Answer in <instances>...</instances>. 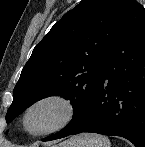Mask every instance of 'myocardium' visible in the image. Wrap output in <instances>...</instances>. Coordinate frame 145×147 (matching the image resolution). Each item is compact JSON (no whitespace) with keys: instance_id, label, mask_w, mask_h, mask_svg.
<instances>
[{"instance_id":"obj_1","label":"myocardium","mask_w":145,"mask_h":147,"mask_svg":"<svg viewBox=\"0 0 145 147\" xmlns=\"http://www.w3.org/2000/svg\"><path fill=\"white\" fill-rule=\"evenodd\" d=\"M49 104H56L62 108L63 116L59 120V122H57L53 126L38 130L30 128L29 117L32 114V112L42 106ZM76 111L77 109L75 103L66 95L60 93L46 94L34 99L26 106L21 116V126L23 131L30 136L39 137L43 135L52 134L67 127L75 118Z\"/></svg>"}]
</instances>
